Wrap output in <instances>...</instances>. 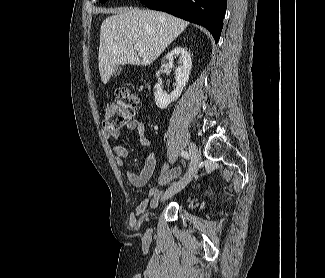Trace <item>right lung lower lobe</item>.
<instances>
[{
    "label": "right lung lower lobe",
    "mask_w": 325,
    "mask_h": 278,
    "mask_svg": "<svg viewBox=\"0 0 325 278\" xmlns=\"http://www.w3.org/2000/svg\"><path fill=\"white\" fill-rule=\"evenodd\" d=\"M148 8L160 10L204 26L217 43L222 30L227 0H140Z\"/></svg>",
    "instance_id": "right-lung-lower-lobe-1"
}]
</instances>
